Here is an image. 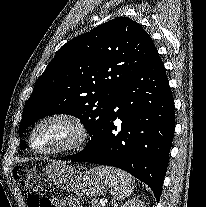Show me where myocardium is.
Returning a JSON list of instances; mask_svg holds the SVG:
<instances>
[{"label":"myocardium","mask_w":206,"mask_h":207,"mask_svg":"<svg viewBox=\"0 0 206 207\" xmlns=\"http://www.w3.org/2000/svg\"><path fill=\"white\" fill-rule=\"evenodd\" d=\"M53 120H61L69 123L75 129L74 138L67 144L54 149H39L34 145L33 138L35 132L45 123ZM89 129L78 116L69 113H55L48 115L38 121L29 134V145L33 151L43 155H56L73 152L83 148L89 140Z\"/></svg>","instance_id":"1"}]
</instances>
